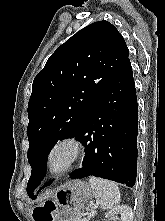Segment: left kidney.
Masks as SVG:
<instances>
[{
	"label": "left kidney",
	"mask_w": 165,
	"mask_h": 221,
	"mask_svg": "<svg viewBox=\"0 0 165 221\" xmlns=\"http://www.w3.org/2000/svg\"><path fill=\"white\" fill-rule=\"evenodd\" d=\"M118 215L121 216V221H133V211L130 206L127 205L117 206L106 214V218L112 219Z\"/></svg>",
	"instance_id": "left-kidney-1"
}]
</instances>
